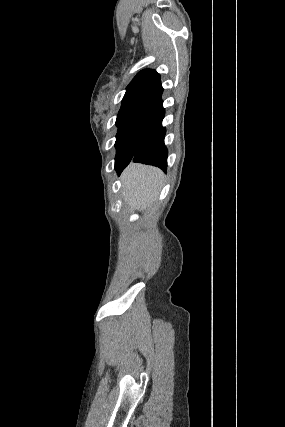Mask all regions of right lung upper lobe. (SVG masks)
<instances>
[{"mask_svg":"<svg viewBox=\"0 0 285 427\" xmlns=\"http://www.w3.org/2000/svg\"><path fill=\"white\" fill-rule=\"evenodd\" d=\"M163 88L160 75L152 69L139 72L126 88L117 120L137 115H147L162 104Z\"/></svg>","mask_w":285,"mask_h":427,"instance_id":"obj_1","label":"right lung upper lobe"}]
</instances>
